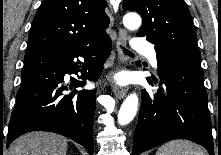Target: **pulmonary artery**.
<instances>
[{"label":"pulmonary artery","instance_id":"obj_1","mask_svg":"<svg viewBox=\"0 0 221 155\" xmlns=\"http://www.w3.org/2000/svg\"><path fill=\"white\" fill-rule=\"evenodd\" d=\"M133 48L144 55L147 56L149 59L151 65L154 68H157V57H156V52L151 44L148 42L142 40V39H136L133 43Z\"/></svg>","mask_w":221,"mask_h":155}]
</instances>
